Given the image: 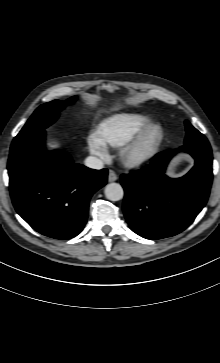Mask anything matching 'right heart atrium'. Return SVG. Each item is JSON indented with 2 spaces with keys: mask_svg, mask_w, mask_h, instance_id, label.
<instances>
[{
  "mask_svg": "<svg viewBox=\"0 0 220 363\" xmlns=\"http://www.w3.org/2000/svg\"><path fill=\"white\" fill-rule=\"evenodd\" d=\"M87 145L89 151L101 160H107L109 152L106 144L96 133H92L87 138Z\"/></svg>",
  "mask_w": 220,
  "mask_h": 363,
  "instance_id": "1",
  "label": "right heart atrium"
}]
</instances>
